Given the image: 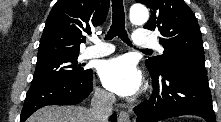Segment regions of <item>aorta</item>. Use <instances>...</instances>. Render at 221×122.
<instances>
[{
    "label": "aorta",
    "mask_w": 221,
    "mask_h": 122,
    "mask_svg": "<svg viewBox=\"0 0 221 122\" xmlns=\"http://www.w3.org/2000/svg\"><path fill=\"white\" fill-rule=\"evenodd\" d=\"M149 19V12L143 4H134L130 8V21L136 25H143Z\"/></svg>",
    "instance_id": "aorta-1"
}]
</instances>
